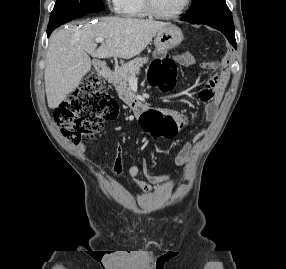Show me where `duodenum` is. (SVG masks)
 <instances>
[{
  "label": "duodenum",
  "instance_id": "duodenum-1",
  "mask_svg": "<svg viewBox=\"0 0 286 269\" xmlns=\"http://www.w3.org/2000/svg\"><path fill=\"white\" fill-rule=\"evenodd\" d=\"M95 67H96V70L99 72V74L107 81L110 80L111 78V69L109 68V66L104 63V62H97L95 64ZM133 107H135V109L137 111H140V110H145L146 109V106L144 105H141L139 104L138 102H134L133 104Z\"/></svg>",
  "mask_w": 286,
  "mask_h": 269
}]
</instances>
